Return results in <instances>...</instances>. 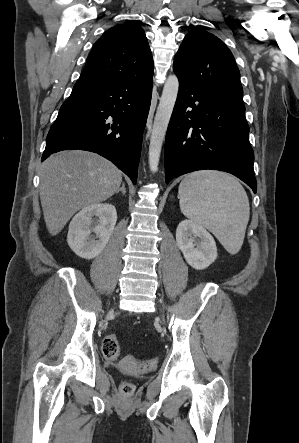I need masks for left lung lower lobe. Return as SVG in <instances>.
Masks as SVG:
<instances>
[{"label":"left lung lower lobe","instance_id":"obj_1","mask_svg":"<svg viewBox=\"0 0 299 443\" xmlns=\"http://www.w3.org/2000/svg\"><path fill=\"white\" fill-rule=\"evenodd\" d=\"M178 79L165 140L166 183L189 172L213 169L237 176L256 193L244 104Z\"/></svg>","mask_w":299,"mask_h":443}]
</instances>
